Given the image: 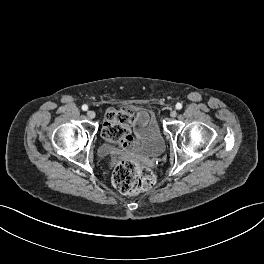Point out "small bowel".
Segmentation results:
<instances>
[{"label": "small bowel", "mask_w": 264, "mask_h": 264, "mask_svg": "<svg viewBox=\"0 0 264 264\" xmlns=\"http://www.w3.org/2000/svg\"><path fill=\"white\" fill-rule=\"evenodd\" d=\"M108 123L105 119L104 126ZM150 126V118L146 111H138L136 115L133 116L132 123L127 135L119 141L120 148L123 150H129L142 139H144L148 132ZM133 132V134H132Z\"/></svg>", "instance_id": "c3829d8e"}]
</instances>
